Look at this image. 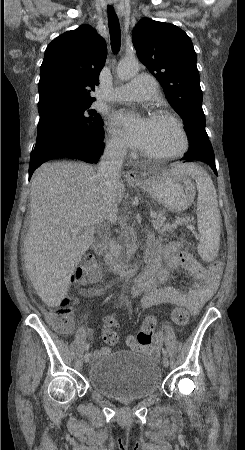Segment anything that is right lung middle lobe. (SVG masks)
Segmentation results:
<instances>
[{
  "label": "right lung middle lobe",
  "mask_w": 245,
  "mask_h": 450,
  "mask_svg": "<svg viewBox=\"0 0 245 450\" xmlns=\"http://www.w3.org/2000/svg\"><path fill=\"white\" fill-rule=\"evenodd\" d=\"M40 119L34 152L63 146L96 144L102 135V118L90 105L57 103L38 109Z\"/></svg>",
  "instance_id": "right-lung-middle-lobe-1"
}]
</instances>
